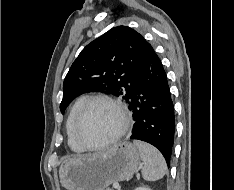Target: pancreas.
<instances>
[{
    "mask_svg": "<svg viewBox=\"0 0 234 190\" xmlns=\"http://www.w3.org/2000/svg\"><path fill=\"white\" fill-rule=\"evenodd\" d=\"M106 190H112V189L108 188V189H106Z\"/></svg>",
    "mask_w": 234,
    "mask_h": 190,
    "instance_id": "pancreas-1",
    "label": "pancreas"
}]
</instances>
